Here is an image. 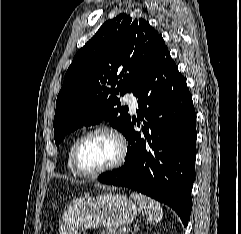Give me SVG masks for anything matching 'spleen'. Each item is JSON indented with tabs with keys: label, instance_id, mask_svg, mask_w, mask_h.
<instances>
[{
	"label": "spleen",
	"instance_id": "1",
	"mask_svg": "<svg viewBox=\"0 0 241 234\" xmlns=\"http://www.w3.org/2000/svg\"><path fill=\"white\" fill-rule=\"evenodd\" d=\"M131 197L145 210L150 223H157L162 219L163 209L159 202L140 193H132Z\"/></svg>",
	"mask_w": 241,
	"mask_h": 234
}]
</instances>
